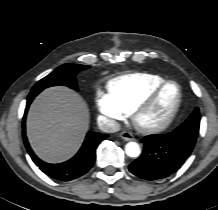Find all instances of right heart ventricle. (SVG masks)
I'll return each mask as SVG.
<instances>
[{
  "label": "right heart ventricle",
  "instance_id": "e07e8e85",
  "mask_svg": "<svg viewBox=\"0 0 218 210\" xmlns=\"http://www.w3.org/2000/svg\"><path fill=\"white\" fill-rule=\"evenodd\" d=\"M164 81L165 79L157 74H129L112 80L109 84V93L126 114H130L139 102Z\"/></svg>",
  "mask_w": 218,
  "mask_h": 210
}]
</instances>
